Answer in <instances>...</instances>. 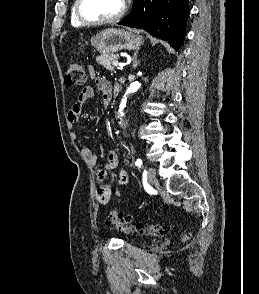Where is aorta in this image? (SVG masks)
Masks as SVG:
<instances>
[{"label":"aorta","mask_w":259,"mask_h":294,"mask_svg":"<svg viewBox=\"0 0 259 294\" xmlns=\"http://www.w3.org/2000/svg\"><path fill=\"white\" fill-rule=\"evenodd\" d=\"M140 86L141 84L138 81L131 83L123 96L122 102L119 106V115H118V123L121 127L125 126V123H126L125 116L123 113V108L125 106V101L127 99V96L131 93L136 92L140 88Z\"/></svg>","instance_id":"1"}]
</instances>
